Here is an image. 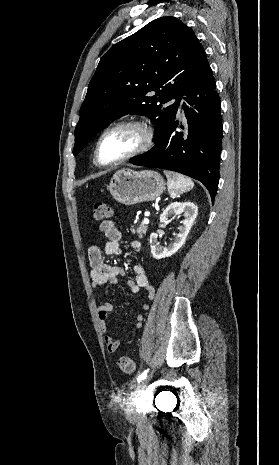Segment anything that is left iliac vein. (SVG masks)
I'll return each mask as SVG.
<instances>
[{
    "label": "left iliac vein",
    "instance_id": "obj_1",
    "mask_svg": "<svg viewBox=\"0 0 279 465\" xmlns=\"http://www.w3.org/2000/svg\"><path fill=\"white\" fill-rule=\"evenodd\" d=\"M151 377H152V374L149 375L148 377H146L144 380L140 381L138 384H136L132 394L129 397L128 405H127V409H126V415H127V418L130 421L135 420V414L134 413H135L136 402H137L139 396L142 394V392L146 388L147 383L149 382Z\"/></svg>",
    "mask_w": 279,
    "mask_h": 465
}]
</instances>
